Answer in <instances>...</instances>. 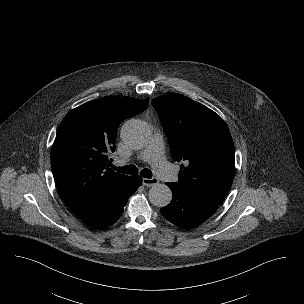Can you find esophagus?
<instances>
[{
    "label": "esophagus",
    "mask_w": 304,
    "mask_h": 304,
    "mask_svg": "<svg viewBox=\"0 0 304 304\" xmlns=\"http://www.w3.org/2000/svg\"><path fill=\"white\" fill-rule=\"evenodd\" d=\"M158 183H159V181H158L157 178H143V185L144 186L151 187V186H154Z\"/></svg>",
    "instance_id": "esophagus-1"
}]
</instances>
